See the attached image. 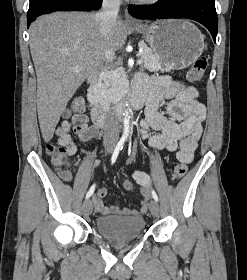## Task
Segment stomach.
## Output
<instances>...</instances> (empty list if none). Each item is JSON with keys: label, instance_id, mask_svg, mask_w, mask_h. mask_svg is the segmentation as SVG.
<instances>
[{"label": "stomach", "instance_id": "stomach-1", "mask_svg": "<svg viewBox=\"0 0 247 280\" xmlns=\"http://www.w3.org/2000/svg\"><path fill=\"white\" fill-rule=\"evenodd\" d=\"M133 29L144 35L153 54L168 69L190 66L204 49L203 35L187 20H162Z\"/></svg>", "mask_w": 247, "mask_h": 280}]
</instances>
